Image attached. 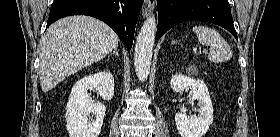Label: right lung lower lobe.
<instances>
[{
    "mask_svg": "<svg viewBox=\"0 0 280 137\" xmlns=\"http://www.w3.org/2000/svg\"><path fill=\"white\" fill-rule=\"evenodd\" d=\"M144 0H54L47 21L70 15H88L108 24L130 51L134 31ZM46 27V28H47Z\"/></svg>",
    "mask_w": 280,
    "mask_h": 137,
    "instance_id": "right-lung-lower-lobe-1",
    "label": "right lung lower lobe"
}]
</instances>
